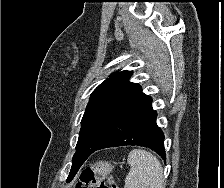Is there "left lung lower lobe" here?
<instances>
[{"label": "left lung lower lobe", "mask_w": 224, "mask_h": 188, "mask_svg": "<svg viewBox=\"0 0 224 188\" xmlns=\"http://www.w3.org/2000/svg\"><path fill=\"white\" fill-rule=\"evenodd\" d=\"M151 103V97L145 94L136 100L85 159L80 162H72V169L74 166H78L75 170L76 172L83 162L97 150L125 145H138L151 148L163 159H166L164 135L156 124L157 113L152 109Z\"/></svg>", "instance_id": "left-lung-lower-lobe-1"}]
</instances>
